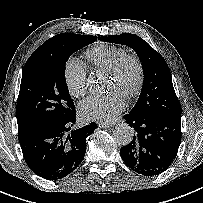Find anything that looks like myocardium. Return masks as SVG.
Listing matches in <instances>:
<instances>
[{"label":"myocardium","mask_w":203,"mask_h":203,"mask_svg":"<svg viewBox=\"0 0 203 203\" xmlns=\"http://www.w3.org/2000/svg\"><path fill=\"white\" fill-rule=\"evenodd\" d=\"M132 62L136 69L135 80L132 87L124 95L126 98H133L142 88L144 81V67L141 59L135 53H124L120 56L114 65L108 70L111 76L117 74L127 63Z\"/></svg>","instance_id":"obj_1"}]
</instances>
